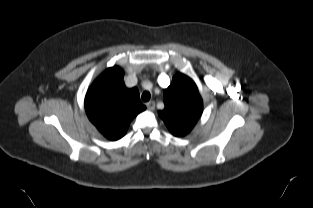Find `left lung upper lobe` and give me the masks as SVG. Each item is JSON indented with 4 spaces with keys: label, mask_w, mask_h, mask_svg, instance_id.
<instances>
[{
    "label": "left lung upper lobe",
    "mask_w": 313,
    "mask_h": 208,
    "mask_svg": "<svg viewBox=\"0 0 313 208\" xmlns=\"http://www.w3.org/2000/svg\"><path fill=\"white\" fill-rule=\"evenodd\" d=\"M165 108L158 112L169 131L178 137L187 135L203 111V102L195 83L178 73L164 91Z\"/></svg>",
    "instance_id": "obj_1"
}]
</instances>
